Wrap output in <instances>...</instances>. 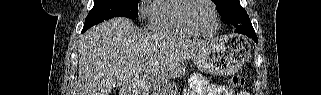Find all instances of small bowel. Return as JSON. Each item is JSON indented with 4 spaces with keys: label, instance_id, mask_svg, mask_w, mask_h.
Instances as JSON below:
<instances>
[{
    "label": "small bowel",
    "instance_id": "1",
    "mask_svg": "<svg viewBox=\"0 0 321 95\" xmlns=\"http://www.w3.org/2000/svg\"><path fill=\"white\" fill-rule=\"evenodd\" d=\"M187 95H232L229 87L217 84H205L204 92H188Z\"/></svg>",
    "mask_w": 321,
    "mask_h": 95
}]
</instances>
